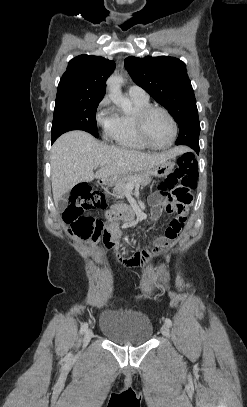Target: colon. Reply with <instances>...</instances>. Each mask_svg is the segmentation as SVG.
<instances>
[{
	"instance_id": "colon-1",
	"label": "colon",
	"mask_w": 247,
	"mask_h": 407,
	"mask_svg": "<svg viewBox=\"0 0 247 407\" xmlns=\"http://www.w3.org/2000/svg\"><path fill=\"white\" fill-rule=\"evenodd\" d=\"M198 162L193 154L185 153L178 160L174 171L159 184V189L170 192L177 202L189 204L192 200L191 191L197 186ZM106 206L105 196L91 186H77L69 204L63 212V220L69 226L71 233L88 243H95L107 232L102 221L86 212Z\"/></svg>"
}]
</instances>
